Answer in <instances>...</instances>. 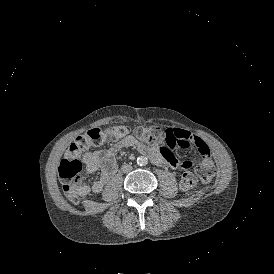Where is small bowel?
<instances>
[{
	"label": "small bowel",
	"mask_w": 274,
	"mask_h": 274,
	"mask_svg": "<svg viewBox=\"0 0 274 274\" xmlns=\"http://www.w3.org/2000/svg\"><path fill=\"white\" fill-rule=\"evenodd\" d=\"M197 148L200 153V158L203 161H207L209 168L216 166V161L211 158V151L207 141L201 139L197 135L190 133L186 130L172 127L169 130V140L167 147L164 149V155L167 160L160 153L157 146H146L140 143L133 136H125L115 148L104 150H91V144L87 143L83 146V161L87 172L94 173L100 170L99 177L92 183L91 186L86 185L83 181L79 184V195L86 196L89 193H100L106 183L115 174L117 170V164L115 160V153L117 150L126 147H136L142 154L146 155L151 161L159 167L170 166L176 169L189 168L190 162H179V158L175 150L177 148L187 147ZM197 173L201 175L208 184L215 182V177L210 173L205 165H200L197 168Z\"/></svg>",
	"instance_id": "small-bowel-1"
}]
</instances>
